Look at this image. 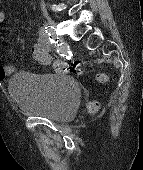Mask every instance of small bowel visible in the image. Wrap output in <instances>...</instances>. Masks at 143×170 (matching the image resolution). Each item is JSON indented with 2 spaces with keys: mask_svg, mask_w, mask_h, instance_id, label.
I'll return each instance as SVG.
<instances>
[{
  "mask_svg": "<svg viewBox=\"0 0 143 170\" xmlns=\"http://www.w3.org/2000/svg\"><path fill=\"white\" fill-rule=\"evenodd\" d=\"M4 19L5 14L3 11L0 10V25L4 22ZM32 54L36 60L44 65H48L51 63V55L40 41H37L33 44ZM57 64H54L55 69H57ZM14 71L15 69L12 65L0 62V80H4L7 76L13 74Z\"/></svg>",
  "mask_w": 143,
  "mask_h": 170,
  "instance_id": "1",
  "label": "small bowel"
}]
</instances>
